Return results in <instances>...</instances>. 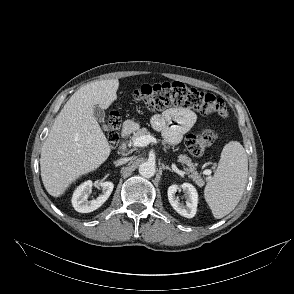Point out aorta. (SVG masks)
I'll use <instances>...</instances> for the list:
<instances>
[{"mask_svg": "<svg viewBox=\"0 0 294 294\" xmlns=\"http://www.w3.org/2000/svg\"><path fill=\"white\" fill-rule=\"evenodd\" d=\"M155 165L151 162H144L139 166V173L145 178H151L155 174Z\"/></svg>", "mask_w": 294, "mask_h": 294, "instance_id": "obj_1", "label": "aorta"}]
</instances>
